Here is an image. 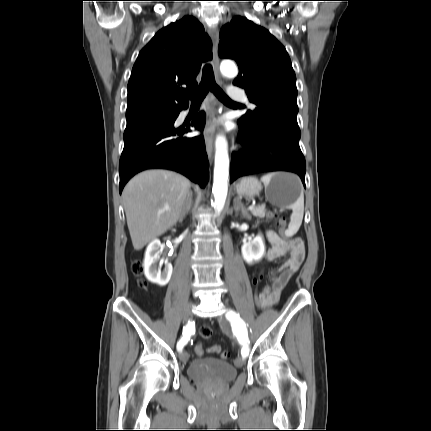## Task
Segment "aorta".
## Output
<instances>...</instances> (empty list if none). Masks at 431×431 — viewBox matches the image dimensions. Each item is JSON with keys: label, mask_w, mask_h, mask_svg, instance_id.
I'll return each mask as SVG.
<instances>
[{"label": "aorta", "mask_w": 431, "mask_h": 431, "mask_svg": "<svg viewBox=\"0 0 431 431\" xmlns=\"http://www.w3.org/2000/svg\"><path fill=\"white\" fill-rule=\"evenodd\" d=\"M222 75L235 77L238 73L236 65L231 61H224L220 65ZM229 156L227 142L223 136L216 139V153L214 166V181L212 192L214 195V208L220 213L224 208L228 192Z\"/></svg>", "instance_id": "obj_1"}]
</instances>
